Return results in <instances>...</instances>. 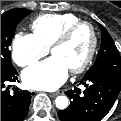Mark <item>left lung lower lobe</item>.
Returning a JSON list of instances; mask_svg holds the SVG:
<instances>
[{"label":"left lung lower lobe","mask_w":121,"mask_h":121,"mask_svg":"<svg viewBox=\"0 0 121 121\" xmlns=\"http://www.w3.org/2000/svg\"><path fill=\"white\" fill-rule=\"evenodd\" d=\"M86 89L77 87L66 95L72 100L59 111L61 121H100L112 108L121 89V72L100 71L85 74L81 80Z\"/></svg>","instance_id":"left-lung-lower-lobe-1"}]
</instances>
